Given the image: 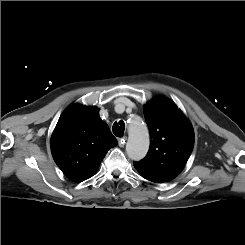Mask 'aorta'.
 <instances>
[{
  "mask_svg": "<svg viewBox=\"0 0 245 245\" xmlns=\"http://www.w3.org/2000/svg\"><path fill=\"white\" fill-rule=\"evenodd\" d=\"M128 142L126 152L130 159L139 161L143 159L149 149L148 129L141 117L134 115L128 123Z\"/></svg>",
  "mask_w": 245,
  "mask_h": 245,
  "instance_id": "aorta-1",
  "label": "aorta"
}]
</instances>
